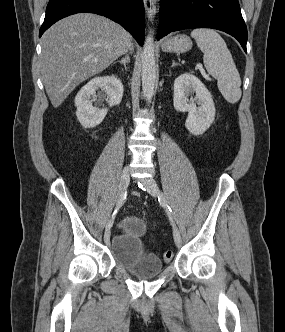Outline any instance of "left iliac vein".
Masks as SVG:
<instances>
[{
  "label": "left iliac vein",
  "instance_id": "1",
  "mask_svg": "<svg viewBox=\"0 0 285 332\" xmlns=\"http://www.w3.org/2000/svg\"><path fill=\"white\" fill-rule=\"evenodd\" d=\"M141 184L144 186V188L150 195H152L154 197H156L158 195L159 188H158L156 181L153 178H151V177L144 178L141 180ZM173 237H174L175 244L178 247H180L182 245V238H181L180 232L176 226H173Z\"/></svg>",
  "mask_w": 285,
  "mask_h": 332
}]
</instances>
